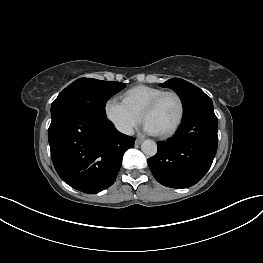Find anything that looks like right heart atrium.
<instances>
[{
    "label": "right heart atrium",
    "instance_id": "right-heart-atrium-1",
    "mask_svg": "<svg viewBox=\"0 0 263 263\" xmlns=\"http://www.w3.org/2000/svg\"><path fill=\"white\" fill-rule=\"evenodd\" d=\"M107 120L124 135H130L141 122V115L132 111L123 101L109 98L104 105Z\"/></svg>",
    "mask_w": 263,
    "mask_h": 263
}]
</instances>
